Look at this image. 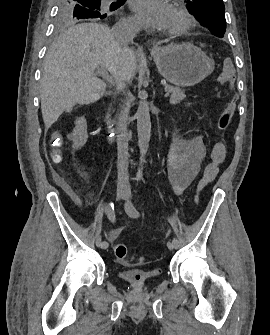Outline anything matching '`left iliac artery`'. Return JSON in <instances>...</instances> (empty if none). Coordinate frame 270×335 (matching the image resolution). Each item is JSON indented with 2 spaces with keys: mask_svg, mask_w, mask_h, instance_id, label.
<instances>
[{
  "mask_svg": "<svg viewBox=\"0 0 270 335\" xmlns=\"http://www.w3.org/2000/svg\"><path fill=\"white\" fill-rule=\"evenodd\" d=\"M128 211L130 215H132L133 217H138L140 215L138 210L134 207L132 203L128 205ZM172 243L175 246V248L180 246V242L178 241L177 238H173Z\"/></svg>",
  "mask_w": 270,
  "mask_h": 335,
  "instance_id": "44dca946",
  "label": "left iliac artery"
}]
</instances>
